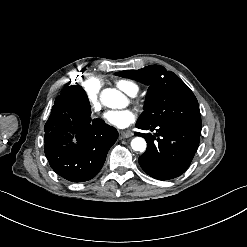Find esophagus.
Wrapping results in <instances>:
<instances>
[{
    "instance_id": "obj_1",
    "label": "esophagus",
    "mask_w": 247,
    "mask_h": 247,
    "mask_svg": "<svg viewBox=\"0 0 247 247\" xmlns=\"http://www.w3.org/2000/svg\"><path fill=\"white\" fill-rule=\"evenodd\" d=\"M134 135V133L132 132V131H130V130H122L121 131V136L123 137V138H130V137H132Z\"/></svg>"
}]
</instances>
